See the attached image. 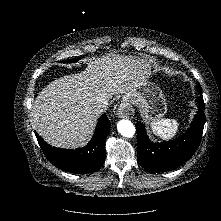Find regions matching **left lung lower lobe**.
Segmentation results:
<instances>
[{
    "mask_svg": "<svg viewBox=\"0 0 221 221\" xmlns=\"http://www.w3.org/2000/svg\"><path fill=\"white\" fill-rule=\"evenodd\" d=\"M201 92V91H199ZM199 105L204 109L203 96L199 97ZM205 114L199 109L190 128L180 137L162 143L149 140L145 126L138 122L137 131V159L138 163L152 173L170 171L189 160L200 144Z\"/></svg>",
    "mask_w": 221,
    "mask_h": 221,
    "instance_id": "left-lung-lower-lobe-1",
    "label": "left lung lower lobe"
}]
</instances>
